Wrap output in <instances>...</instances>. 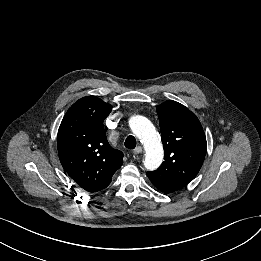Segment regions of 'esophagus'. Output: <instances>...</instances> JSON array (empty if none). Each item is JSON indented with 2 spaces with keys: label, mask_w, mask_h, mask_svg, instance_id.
I'll list each match as a JSON object with an SVG mask.
<instances>
[{
  "label": "esophagus",
  "mask_w": 261,
  "mask_h": 261,
  "mask_svg": "<svg viewBox=\"0 0 261 261\" xmlns=\"http://www.w3.org/2000/svg\"><path fill=\"white\" fill-rule=\"evenodd\" d=\"M142 152V147L141 146H138V147H136L134 150H133V153L135 154V155H137V154H139V153H141Z\"/></svg>",
  "instance_id": "34e87169"
}]
</instances>
